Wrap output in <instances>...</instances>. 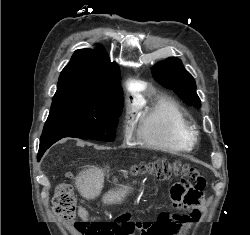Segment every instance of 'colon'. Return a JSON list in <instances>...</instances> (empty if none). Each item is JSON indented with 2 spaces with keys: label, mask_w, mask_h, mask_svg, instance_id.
Here are the masks:
<instances>
[{
  "label": "colon",
  "mask_w": 250,
  "mask_h": 235,
  "mask_svg": "<svg viewBox=\"0 0 250 235\" xmlns=\"http://www.w3.org/2000/svg\"><path fill=\"white\" fill-rule=\"evenodd\" d=\"M135 173H146L159 180H166L172 176H180V182L171 188V200L175 210L182 209L183 205H199L202 193L206 188V179L203 174L188 164L180 161L157 159L144 162L134 167ZM77 203L70 185L61 183L53 198L54 214L71 225L84 235H130L139 231L141 235H165L166 227L159 220L144 225H137L128 216L121 215L115 220L85 222L76 220Z\"/></svg>",
  "instance_id": "obj_1"
}]
</instances>
